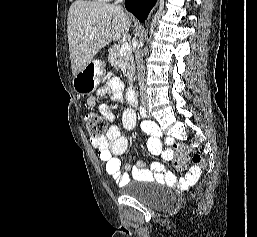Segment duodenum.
Wrapping results in <instances>:
<instances>
[{"mask_svg":"<svg viewBox=\"0 0 257 237\" xmlns=\"http://www.w3.org/2000/svg\"><path fill=\"white\" fill-rule=\"evenodd\" d=\"M126 96H127V100L130 104L132 105H135L136 103V99H135V92L133 89H128L127 90V93H126Z\"/></svg>","mask_w":257,"mask_h":237,"instance_id":"410a0bca","label":"duodenum"}]
</instances>
